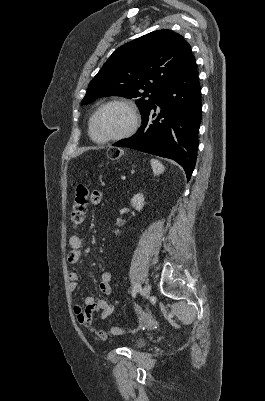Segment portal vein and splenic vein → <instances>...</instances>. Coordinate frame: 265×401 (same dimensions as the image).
Listing matches in <instances>:
<instances>
[{
    "mask_svg": "<svg viewBox=\"0 0 265 401\" xmlns=\"http://www.w3.org/2000/svg\"><path fill=\"white\" fill-rule=\"evenodd\" d=\"M120 178H121L122 181H125V180H126V177H125L124 174H121V175H120Z\"/></svg>",
    "mask_w": 265,
    "mask_h": 401,
    "instance_id": "obj_1",
    "label": "portal vein and splenic vein"
}]
</instances>
